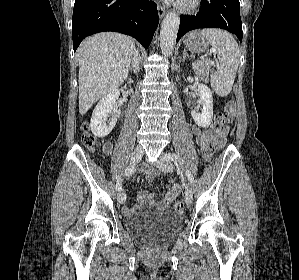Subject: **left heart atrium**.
Segmentation results:
<instances>
[{
    "label": "left heart atrium",
    "instance_id": "obj_1",
    "mask_svg": "<svg viewBox=\"0 0 299 280\" xmlns=\"http://www.w3.org/2000/svg\"><path fill=\"white\" fill-rule=\"evenodd\" d=\"M171 1H178V2H179V1H181V0H171Z\"/></svg>",
    "mask_w": 299,
    "mask_h": 280
}]
</instances>
